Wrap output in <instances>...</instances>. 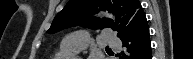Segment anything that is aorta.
I'll return each mask as SVG.
<instances>
[{"mask_svg":"<svg viewBox=\"0 0 193 59\" xmlns=\"http://www.w3.org/2000/svg\"><path fill=\"white\" fill-rule=\"evenodd\" d=\"M101 16H105L107 18H111V19H114L113 15L108 13V12H101L100 13Z\"/></svg>","mask_w":193,"mask_h":59,"instance_id":"762f6f07","label":"aorta"}]
</instances>
